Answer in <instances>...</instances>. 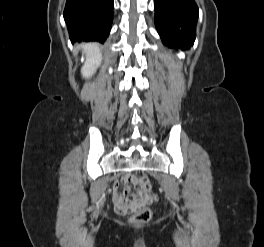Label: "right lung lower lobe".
Wrapping results in <instances>:
<instances>
[{
    "instance_id": "98d812e1",
    "label": "right lung lower lobe",
    "mask_w": 264,
    "mask_h": 247,
    "mask_svg": "<svg viewBox=\"0 0 264 247\" xmlns=\"http://www.w3.org/2000/svg\"><path fill=\"white\" fill-rule=\"evenodd\" d=\"M114 0H67L64 19L72 42L104 43L113 21Z\"/></svg>"
}]
</instances>
